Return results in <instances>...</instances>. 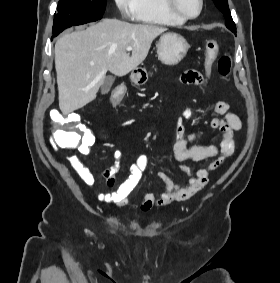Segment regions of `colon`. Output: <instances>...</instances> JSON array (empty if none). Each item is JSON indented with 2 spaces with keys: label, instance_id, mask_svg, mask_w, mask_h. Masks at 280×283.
I'll return each instance as SVG.
<instances>
[{
  "label": "colon",
  "instance_id": "1",
  "mask_svg": "<svg viewBox=\"0 0 280 283\" xmlns=\"http://www.w3.org/2000/svg\"><path fill=\"white\" fill-rule=\"evenodd\" d=\"M218 43L215 40H208L205 44L204 55L205 64L210 67L216 60L218 55ZM232 65L231 56L229 53L222 55L218 60V71L223 77H227L230 73ZM204 82H207L210 75L214 74L213 70H204ZM126 87H113V95L111 102L113 104L119 103L124 96ZM198 92H207V87H198ZM51 124L53 127L51 138L53 144L57 148L74 149L78 147L81 141L80 132H89V127H68L65 125L68 119H81V114L78 110H55L50 113Z\"/></svg>",
  "mask_w": 280,
  "mask_h": 283
}]
</instances>
